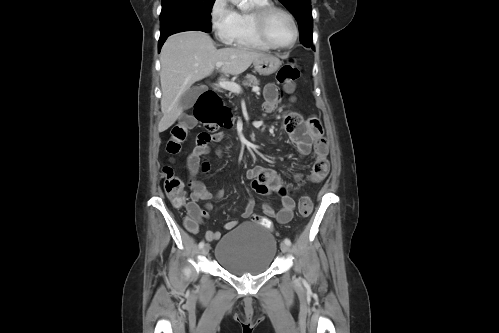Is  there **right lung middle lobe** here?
Returning a JSON list of instances; mask_svg holds the SVG:
<instances>
[{
  "mask_svg": "<svg viewBox=\"0 0 499 333\" xmlns=\"http://www.w3.org/2000/svg\"><path fill=\"white\" fill-rule=\"evenodd\" d=\"M215 0H162L160 37L173 33L201 30L211 31V9Z\"/></svg>",
  "mask_w": 499,
  "mask_h": 333,
  "instance_id": "1",
  "label": "right lung middle lobe"
}]
</instances>
